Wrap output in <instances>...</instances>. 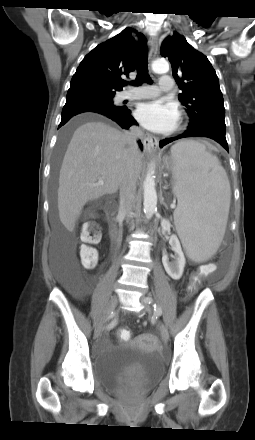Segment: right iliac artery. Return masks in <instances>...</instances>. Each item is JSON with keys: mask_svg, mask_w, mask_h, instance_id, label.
<instances>
[{"mask_svg": "<svg viewBox=\"0 0 255 440\" xmlns=\"http://www.w3.org/2000/svg\"><path fill=\"white\" fill-rule=\"evenodd\" d=\"M113 313V312H112ZM115 314H113V316H114ZM117 322H118V319L117 318H114V320L106 327L107 329H111V328H113L114 326H116V324H117Z\"/></svg>", "mask_w": 255, "mask_h": 440, "instance_id": "right-iliac-artery-1", "label": "right iliac artery"}]
</instances>
